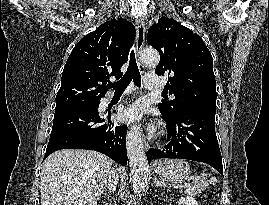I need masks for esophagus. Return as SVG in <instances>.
I'll use <instances>...</instances> for the list:
<instances>
[{
    "label": "esophagus",
    "instance_id": "obj_1",
    "mask_svg": "<svg viewBox=\"0 0 269 205\" xmlns=\"http://www.w3.org/2000/svg\"><path fill=\"white\" fill-rule=\"evenodd\" d=\"M135 24H136V32H137L136 47H135L136 59H137V64H138V68H139L140 72L144 73L145 67L140 60V53H141L142 48H143L144 43H145V22H144V19L142 17L136 18ZM143 137H144L143 138L144 149L146 151H148L149 150V143L145 139L144 135H143Z\"/></svg>",
    "mask_w": 269,
    "mask_h": 205
}]
</instances>
